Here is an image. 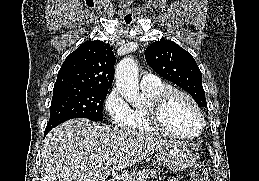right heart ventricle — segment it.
<instances>
[{
    "label": "right heart ventricle",
    "instance_id": "1",
    "mask_svg": "<svg viewBox=\"0 0 259 181\" xmlns=\"http://www.w3.org/2000/svg\"><path fill=\"white\" fill-rule=\"evenodd\" d=\"M166 88H169V86L162 82H159L153 86L142 87V91L146 97L147 102L142 107L131 109L130 121L126 128L145 134L158 133V130L150 122L147 109L150 101Z\"/></svg>",
    "mask_w": 259,
    "mask_h": 181
}]
</instances>
